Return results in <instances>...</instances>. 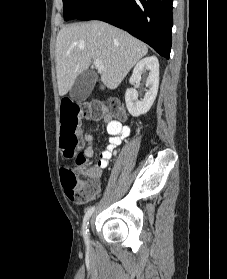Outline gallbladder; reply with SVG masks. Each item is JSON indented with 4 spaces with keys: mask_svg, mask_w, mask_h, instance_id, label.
Here are the masks:
<instances>
[{
    "mask_svg": "<svg viewBox=\"0 0 227 279\" xmlns=\"http://www.w3.org/2000/svg\"><path fill=\"white\" fill-rule=\"evenodd\" d=\"M96 80L97 74L94 71H83L70 90V99L75 102L86 100L91 94Z\"/></svg>",
    "mask_w": 227,
    "mask_h": 279,
    "instance_id": "obj_1",
    "label": "gallbladder"
}]
</instances>
